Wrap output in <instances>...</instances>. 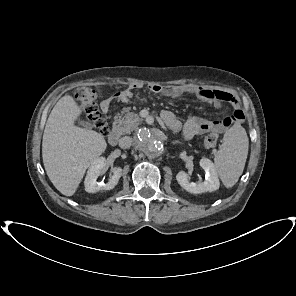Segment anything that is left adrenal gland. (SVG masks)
Segmentation results:
<instances>
[{
  "instance_id": "left-adrenal-gland-1",
  "label": "left adrenal gland",
  "mask_w": 296,
  "mask_h": 296,
  "mask_svg": "<svg viewBox=\"0 0 296 296\" xmlns=\"http://www.w3.org/2000/svg\"><path fill=\"white\" fill-rule=\"evenodd\" d=\"M172 144H173V145H176V144H182V143L179 142V141H173Z\"/></svg>"
}]
</instances>
